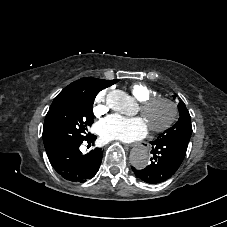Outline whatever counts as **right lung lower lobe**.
Listing matches in <instances>:
<instances>
[{
    "mask_svg": "<svg viewBox=\"0 0 227 227\" xmlns=\"http://www.w3.org/2000/svg\"><path fill=\"white\" fill-rule=\"evenodd\" d=\"M96 136L87 134L83 139L60 144L46 151L51 165L65 179L85 182L93 178L99 170L102 161V151L94 148L87 154H82L79 146L83 142L94 145Z\"/></svg>",
    "mask_w": 227,
    "mask_h": 227,
    "instance_id": "1",
    "label": "right lung lower lobe"
}]
</instances>
